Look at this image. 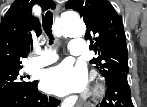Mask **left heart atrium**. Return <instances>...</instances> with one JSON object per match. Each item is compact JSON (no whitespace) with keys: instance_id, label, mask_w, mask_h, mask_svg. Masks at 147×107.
<instances>
[{"instance_id":"left-heart-atrium-1","label":"left heart atrium","mask_w":147,"mask_h":107,"mask_svg":"<svg viewBox=\"0 0 147 107\" xmlns=\"http://www.w3.org/2000/svg\"><path fill=\"white\" fill-rule=\"evenodd\" d=\"M87 83L86 71L83 67L62 63L45 71L41 85L51 94L66 96L82 91Z\"/></svg>"}]
</instances>
